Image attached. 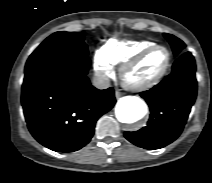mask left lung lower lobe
<instances>
[{"mask_svg":"<svg viewBox=\"0 0 212 183\" xmlns=\"http://www.w3.org/2000/svg\"><path fill=\"white\" fill-rule=\"evenodd\" d=\"M195 71L194 57L190 52L183 53L169 76L141 94L151 114L147 126L124 133L130 142L154 150L170 144L181 134L197 95Z\"/></svg>","mask_w":212,"mask_h":183,"instance_id":"1","label":"left lung lower lobe"}]
</instances>
